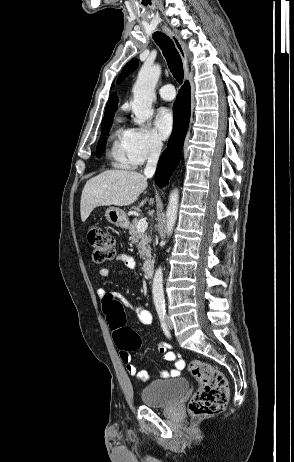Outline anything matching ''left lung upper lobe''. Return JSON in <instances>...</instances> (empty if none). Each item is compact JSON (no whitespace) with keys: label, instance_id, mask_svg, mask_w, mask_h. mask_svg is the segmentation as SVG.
<instances>
[{"label":"left lung upper lobe","instance_id":"5c2ea615","mask_svg":"<svg viewBox=\"0 0 294 462\" xmlns=\"http://www.w3.org/2000/svg\"><path fill=\"white\" fill-rule=\"evenodd\" d=\"M138 66V60L137 59H132L130 62L126 64L124 67L122 74L118 78V82L122 81L125 76L130 74L132 71H134Z\"/></svg>","mask_w":294,"mask_h":462}]
</instances>
